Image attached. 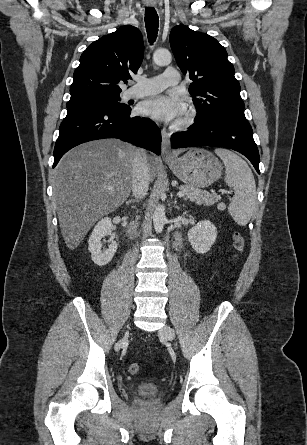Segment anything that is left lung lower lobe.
<instances>
[{
	"label": "left lung lower lobe",
	"mask_w": 307,
	"mask_h": 445,
	"mask_svg": "<svg viewBox=\"0 0 307 445\" xmlns=\"http://www.w3.org/2000/svg\"><path fill=\"white\" fill-rule=\"evenodd\" d=\"M171 144L173 148L218 146L236 150L245 155L260 174L258 149L246 119L225 116L195 123L188 131L173 134Z\"/></svg>",
	"instance_id": "0a47b994"
}]
</instances>
